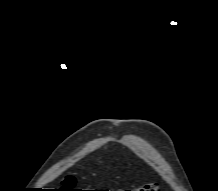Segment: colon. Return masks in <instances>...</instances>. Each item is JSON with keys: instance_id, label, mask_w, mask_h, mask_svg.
I'll return each mask as SVG.
<instances>
[{"instance_id": "5ec220e1", "label": "colon", "mask_w": 218, "mask_h": 191, "mask_svg": "<svg viewBox=\"0 0 218 191\" xmlns=\"http://www.w3.org/2000/svg\"><path fill=\"white\" fill-rule=\"evenodd\" d=\"M63 186L66 188V191H79L75 189V180L72 177H67L63 182ZM118 191H160V187L157 183H148L139 188Z\"/></svg>"}]
</instances>
